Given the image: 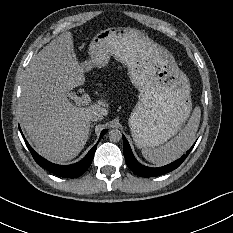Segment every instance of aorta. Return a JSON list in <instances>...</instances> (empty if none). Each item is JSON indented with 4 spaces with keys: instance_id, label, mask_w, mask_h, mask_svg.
I'll list each match as a JSON object with an SVG mask.
<instances>
[{
    "instance_id": "aorta-1",
    "label": "aorta",
    "mask_w": 233,
    "mask_h": 233,
    "mask_svg": "<svg viewBox=\"0 0 233 233\" xmlns=\"http://www.w3.org/2000/svg\"><path fill=\"white\" fill-rule=\"evenodd\" d=\"M122 138V133L118 129H112L109 131V139L113 142H118Z\"/></svg>"
}]
</instances>
